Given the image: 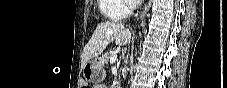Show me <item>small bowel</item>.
I'll use <instances>...</instances> for the list:
<instances>
[{"instance_id":"1","label":"small bowel","mask_w":227,"mask_h":88,"mask_svg":"<svg viewBox=\"0 0 227 88\" xmlns=\"http://www.w3.org/2000/svg\"><path fill=\"white\" fill-rule=\"evenodd\" d=\"M96 87H97V88H101V87H103V85H97Z\"/></svg>"}]
</instances>
